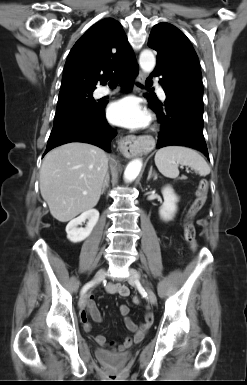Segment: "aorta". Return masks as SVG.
<instances>
[{
  "label": "aorta",
  "mask_w": 247,
  "mask_h": 385,
  "mask_svg": "<svg viewBox=\"0 0 247 385\" xmlns=\"http://www.w3.org/2000/svg\"><path fill=\"white\" fill-rule=\"evenodd\" d=\"M139 65L141 69L150 73L153 71L156 65V59L151 50L145 49L141 52L139 57ZM142 168V161L140 159L132 160L126 167L124 172V180L126 182H132L139 175Z\"/></svg>",
  "instance_id": "aorta-1"
}]
</instances>
